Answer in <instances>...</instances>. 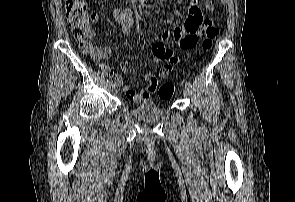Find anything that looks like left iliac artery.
Wrapping results in <instances>:
<instances>
[{"label":"left iliac artery","instance_id":"44dca946","mask_svg":"<svg viewBox=\"0 0 295 202\" xmlns=\"http://www.w3.org/2000/svg\"><path fill=\"white\" fill-rule=\"evenodd\" d=\"M185 86H187V87H189V88H191V87H192V85H191V83H190V82H186V83H185Z\"/></svg>","mask_w":295,"mask_h":202}]
</instances>
